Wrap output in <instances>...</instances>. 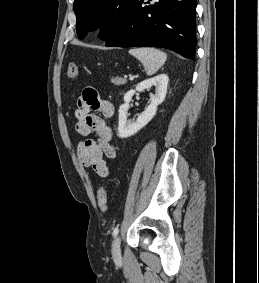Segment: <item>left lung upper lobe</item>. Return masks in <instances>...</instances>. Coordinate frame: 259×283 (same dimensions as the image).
I'll return each mask as SVG.
<instances>
[{"instance_id": "left-lung-upper-lobe-1", "label": "left lung upper lobe", "mask_w": 259, "mask_h": 283, "mask_svg": "<svg viewBox=\"0 0 259 283\" xmlns=\"http://www.w3.org/2000/svg\"><path fill=\"white\" fill-rule=\"evenodd\" d=\"M135 0H75L77 35L83 39L87 32L106 23L100 33L102 40L108 41L122 26Z\"/></svg>"}]
</instances>
